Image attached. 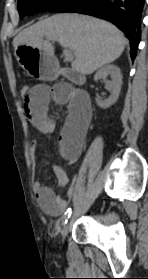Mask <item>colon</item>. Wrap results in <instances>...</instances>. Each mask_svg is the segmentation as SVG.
Returning <instances> with one entry per match:
<instances>
[{"label": "colon", "instance_id": "colon-1", "mask_svg": "<svg viewBox=\"0 0 148 279\" xmlns=\"http://www.w3.org/2000/svg\"><path fill=\"white\" fill-rule=\"evenodd\" d=\"M30 92H31V88L29 86H23L20 89V95L23 98V100L29 99Z\"/></svg>", "mask_w": 148, "mask_h": 279}]
</instances>
